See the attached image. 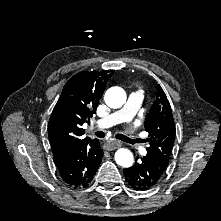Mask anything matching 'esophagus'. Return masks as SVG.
Segmentation results:
<instances>
[{"label":"esophagus","mask_w":221,"mask_h":221,"mask_svg":"<svg viewBox=\"0 0 221 221\" xmlns=\"http://www.w3.org/2000/svg\"><path fill=\"white\" fill-rule=\"evenodd\" d=\"M121 146V143L118 141H112V140H108L104 143L103 147L106 150H114L116 148H119Z\"/></svg>","instance_id":"obj_1"}]
</instances>
